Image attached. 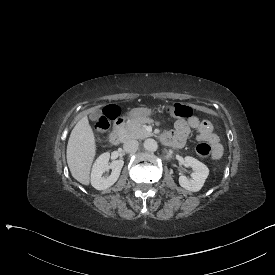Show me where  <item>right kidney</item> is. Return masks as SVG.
<instances>
[{
	"instance_id": "right-kidney-1",
	"label": "right kidney",
	"mask_w": 275,
	"mask_h": 275,
	"mask_svg": "<svg viewBox=\"0 0 275 275\" xmlns=\"http://www.w3.org/2000/svg\"><path fill=\"white\" fill-rule=\"evenodd\" d=\"M110 154L104 153L96 161L91 176V182L96 190L102 191L114 185L120 176L124 161L115 160L109 163ZM112 170L111 175L104 177L105 173Z\"/></svg>"
}]
</instances>
